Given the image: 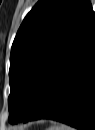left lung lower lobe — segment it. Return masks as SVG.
<instances>
[{
	"label": "left lung lower lobe",
	"mask_w": 95,
	"mask_h": 130,
	"mask_svg": "<svg viewBox=\"0 0 95 130\" xmlns=\"http://www.w3.org/2000/svg\"><path fill=\"white\" fill-rule=\"evenodd\" d=\"M52 119L81 130L95 128V17L51 69L33 105L17 122Z\"/></svg>",
	"instance_id": "1"
}]
</instances>
